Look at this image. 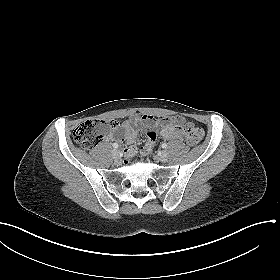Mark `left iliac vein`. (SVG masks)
<instances>
[{"label":"left iliac vein","instance_id":"left-iliac-vein-1","mask_svg":"<svg viewBox=\"0 0 280 280\" xmlns=\"http://www.w3.org/2000/svg\"><path fill=\"white\" fill-rule=\"evenodd\" d=\"M158 159L159 161L165 163L168 161V153L166 151H162L159 155H158Z\"/></svg>","mask_w":280,"mask_h":280}]
</instances>
